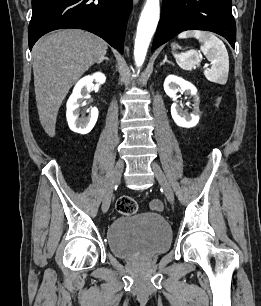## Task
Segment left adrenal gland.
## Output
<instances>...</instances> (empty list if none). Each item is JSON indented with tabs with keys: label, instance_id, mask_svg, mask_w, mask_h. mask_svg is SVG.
Returning a JSON list of instances; mask_svg holds the SVG:
<instances>
[{
	"label": "left adrenal gland",
	"instance_id": "obj_1",
	"mask_svg": "<svg viewBox=\"0 0 261 306\" xmlns=\"http://www.w3.org/2000/svg\"><path fill=\"white\" fill-rule=\"evenodd\" d=\"M165 63H168V64H172V65H173V63L167 59V56H166V55H165V58H164L163 62H161L160 65H164Z\"/></svg>",
	"mask_w": 261,
	"mask_h": 306
}]
</instances>
